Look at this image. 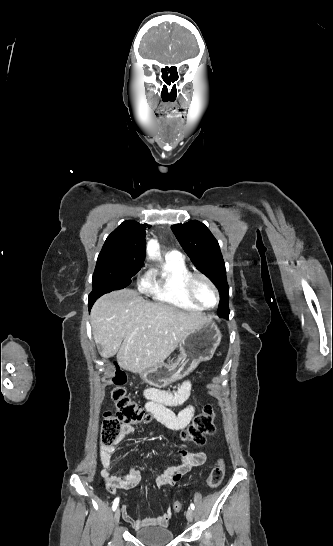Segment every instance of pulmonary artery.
<instances>
[{
  "label": "pulmonary artery",
  "instance_id": "pulmonary-artery-1",
  "mask_svg": "<svg viewBox=\"0 0 333 546\" xmlns=\"http://www.w3.org/2000/svg\"><path fill=\"white\" fill-rule=\"evenodd\" d=\"M166 258L183 259V256L178 250H171L166 254Z\"/></svg>",
  "mask_w": 333,
  "mask_h": 546
}]
</instances>
